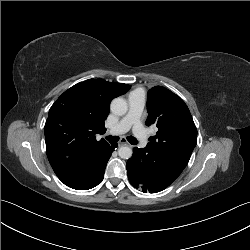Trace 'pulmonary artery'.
<instances>
[{"label": "pulmonary artery", "instance_id": "1", "mask_svg": "<svg viewBox=\"0 0 250 250\" xmlns=\"http://www.w3.org/2000/svg\"><path fill=\"white\" fill-rule=\"evenodd\" d=\"M129 109L127 114L109 130L112 135H119L132 128L134 135L142 147L147 145V134L143 128L140 117L145 106V96L140 91L132 92L128 97Z\"/></svg>", "mask_w": 250, "mask_h": 250}]
</instances>
